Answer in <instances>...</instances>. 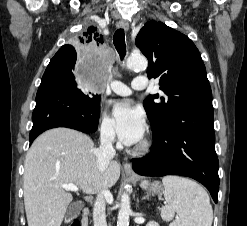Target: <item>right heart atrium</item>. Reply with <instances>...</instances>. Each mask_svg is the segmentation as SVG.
<instances>
[{"instance_id":"right-heart-atrium-1","label":"right heart atrium","mask_w":247,"mask_h":226,"mask_svg":"<svg viewBox=\"0 0 247 226\" xmlns=\"http://www.w3.org/2000/svg\"><path fill=\"white\" fill-rule=\"evenodd\" d=\"M99 131L101 138L106 142H112L115 139V129L113 121L107 114H103L99 122Z\"/></svg>"}]
</instances>
